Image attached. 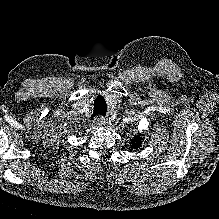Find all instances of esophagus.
<instances>
[{
	"label": "esophagus",
	"instance_id": "34e87169",
	"mask_svg": "<svg viewBox=\"0 0 219 219\" xmlns=\"http://www.w3.org/2000/svg\"><path fill=\"white\" fill-rule=\"evenodd\" d=\"M94 125L99 127L105 124V118L103 116H98L94 119Z\"/></svg>",
	"mask_w": 219,
	"mask_h": 219
}]
</instances>
